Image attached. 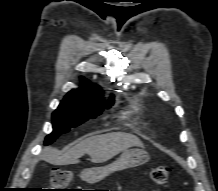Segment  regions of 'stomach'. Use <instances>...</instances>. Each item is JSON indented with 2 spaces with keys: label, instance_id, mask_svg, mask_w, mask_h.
<instances>
[{
  "label": "stomach",
  "instance_id": "1",
  "mask_svg": "<svg viewBox=\"0 0 218 191\" xmlns=\"http://www.w3.org/2000/svg\"><path fill=\"white\" fill-rule=\"evenodd\" d=\"M148 160L149 156L144 150H125L111 164L82 171L81 178L88 183H97L115 171L133 168L146 163Z\"/></svg>",
  "mask_w": 218,
  "mask_h": 191
}]
</instances>
